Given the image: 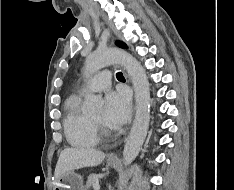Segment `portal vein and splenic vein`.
<instances>
[{"instance_id": "18ae733b", "label": "portal vein and splenic vein", "mask_w": 234, "mask_h": 190, "mask_svg": "<svg viewBox=\"0 0 234 190\" xmlns=\"http://www.w3.org/2000/svg\"><path fill=\"white\" fill-rule=\"evenodd\" d=\"M93 189L94 190H100V185L97 183L93 186Z\"/></svg>"}]
</instances>
